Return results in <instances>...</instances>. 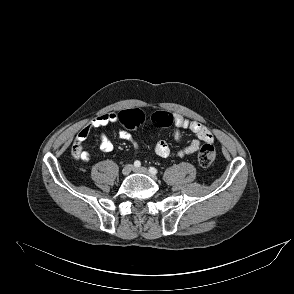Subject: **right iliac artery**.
Instances as JSON below:
<instances>
[{"label": "right iliac artery", "mask_w": 294, "mask_h": 294, "mask_svg": "<svg viewBox=\"0 0 294 294\" xmlns=\"http://www.w3.org/2000/svg\"><path fill=\"white\" fill-rule=\"evenodd\" d=\"M140 165H141L140 161L136 160V161L134 162V166H135V167H140Z\"/></svg>", "instance_id": "1"}]
</instances>
